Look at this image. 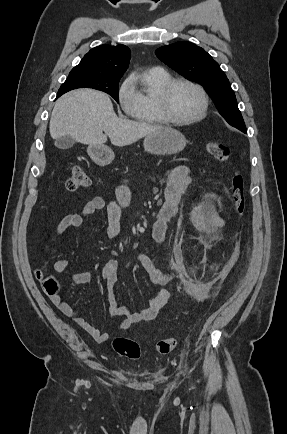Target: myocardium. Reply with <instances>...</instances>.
Returning a JSON list of instances; mask_svg holds the SVG:
<instances>
[{"label": "myocardium", "instance_id": "obj_1", "mask_svg": "<svg viewBox=\"0 0 287 434\" xmlns=\"http://www.w3.org/2000/svg\"><path fill=\"white\" fill-rule=\"evenodd\" d=\"M181 84L188 85L195 89L199 93L201 98V108L199 112L195 116L188 119L174 118L170 114L168 108V98L171 91L174 89V87ZM155 101L162 119L165 122L173 125H189L202 120L207 113L209 105V99L205 89L198 83L185 78H171L166 84H164L157 90L155 94Z\"/></svg>", "mask_w": 287, "mask_h": 434}]
</instances>
